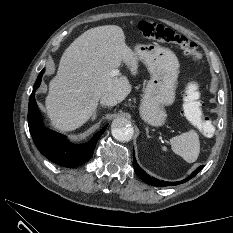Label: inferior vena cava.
Instances as JSON below:
<instances>
[{
  "label": "inferior vena cava",
  "mask_w": 233,
  "mask_h": 233,
  "mask_svg": "<svg viewBox=\"0 0 233 233\" xmlns=\"http://www.w3.org/2000/svg\"><path fill=\"white\" fill-rule=\"evenodd\" d=\"M101 105L114 106L117 104V99L112 94H105L100 99Z\"/></svg>",
  "instance_id": "obj_1"
}]
</instances>
